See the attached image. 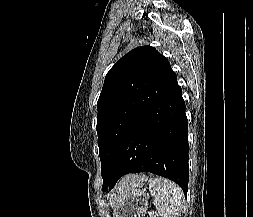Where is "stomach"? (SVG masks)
Wrapping results in <instances>:
<instances>
[{
    "instance_id": "stomach-1",
    "label": "stomach",
    "mask_w": 253,
    "mask_h": 217,
    "mask_svg": "<svg viewBox=\"0 0 253 217\" xmlns=\"http://www.w3.org/2000/svg\"><path fill=\"white\" fill-rule=\"evenodd\" d=\"M148 204L149 195L145 188L136 187L127 196L115 200L112 217H145Z\"/></svg>"
}]
</instances>
